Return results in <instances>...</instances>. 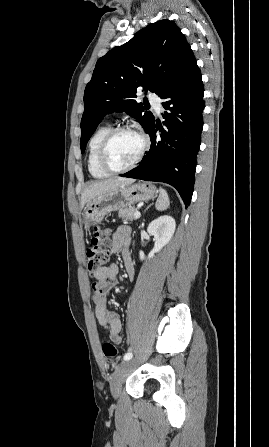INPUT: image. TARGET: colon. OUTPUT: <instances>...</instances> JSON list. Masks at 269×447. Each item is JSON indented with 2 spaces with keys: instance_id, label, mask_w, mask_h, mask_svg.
<instances>
[{
  "instance_id": "1",
  "label": "colon",
  "mask_w": 269,
  "mask_h": 447,
  "mask_svg": "<svg viewBox=\"0 0 269 447\" xmlns=\"http://www.w3.org/2000/svg\"><path fill=\"white\" fill-rule=\"evenodd\" d=\"M93 236L91 243L93 245L86 254V267L89 276H95L109 262L110 232L106 227L94 225L92 228ZM102 352L106 358H117L119 350L117 347L105 339L101 345Z\"/></svg>"
}]
</instances>
